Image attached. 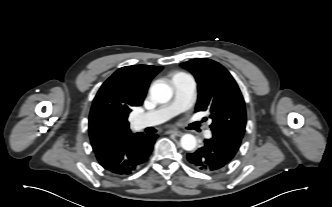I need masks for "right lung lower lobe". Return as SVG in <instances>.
Returning a JSON list of instances; mask_svg holds the SVG:
<instances>
[{
    "label": "right lung lower lobe",
    "mask_w": 332,
    "mask_h": 207,
    "mask_svg": "<svg viewBox=\"0 0 332 207\" xmlns=\"http://www.w3.org/2000/svg\"><path fill=\"white\" fill-rule=\"evenodd\" d=\"M157 138L155 134H130L113 146L95 151V154L109 172L129 175L148 160Z\"/></svg>",
    "instance_id": "98d812e1"
}]
</instances>
